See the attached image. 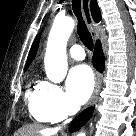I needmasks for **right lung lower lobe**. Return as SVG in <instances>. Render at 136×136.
Instances as JSON below:
<instances>
[{
    "label": "right lung lower lobe",
    "instance_id": "obj_1",
    "mask_svg": "<svg viewBox=\"0 0 136 136\" xmlns=\"http://www.w3.org/2000/svg\"><path fill=\"white\" fill-rule=\"evenodd\" d=\"M93 64L98 71H103L104 68V55L102 52V47L100 42L98 41L95 46L94 56H93ZM94 108H89L84 110L78 117L74 119L70 126V131L75 132L80 129L92 116Z\"/></svg>",
    "mask_w": 136,
    "mask_h": 136
}]
</instances>
